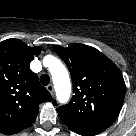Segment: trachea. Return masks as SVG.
<instances>
[{"label":"trachea","mask_w":136,"mask_h":136,"mask_svg":"<svg viewBox=\"0 0 136 136\" xmlns=\"http://www.w3.org/2000/svg\"><path fill=\"white\" fill-rule=\"evenodd\" d=\"M40 82L42 83V85L47 86L49 84V82H50L49 75H47V74L41 75Z\"/></svg>","instance_id":"1"}]
</instances>
